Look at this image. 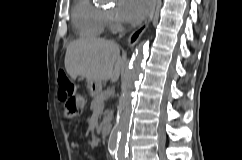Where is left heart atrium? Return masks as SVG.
I'll return each instance as SVG.
<instances>
[{"instance_id":"left-heart-atrium-1","label":"left heart atrium","mask_w":242,"mask_h":160,"mask_svg":"<svg viewBox=\"0 0 242 160\" xmlns=\"http://www.w3.org/2000/svg\"><path fill=\"white\" fill-rule=\"evenodd\" d=\"M151 5L152 0H118L115 15L122 23L136 24L148 14Z\"/></svg>"}]
</instances>
